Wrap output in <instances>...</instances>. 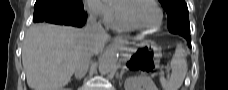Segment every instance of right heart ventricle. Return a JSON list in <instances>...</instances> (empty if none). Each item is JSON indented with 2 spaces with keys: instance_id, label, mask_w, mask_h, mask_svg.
Masks as SVG:
<instances>
[{
  "instance_id": "right-heart-ventricle-1",
  "label": "right heart ventricle",
  "mask_w": 228,
  "mask_h": 90,
  "mask_svg": "<svg viewBox=\"0 0 228 90\" xmlns=\"http://www.w3.org/2000/svg\"><path fill=\"white\" fill-rule=\"evenodd\" d=\"M122 2L123 1H112V5L114 8V15H113V18L108 25L115 30H128V28H126L123 25V23L121 22V20L119 19V16H118V6Z\"/></svg>"
}]
</instances>
